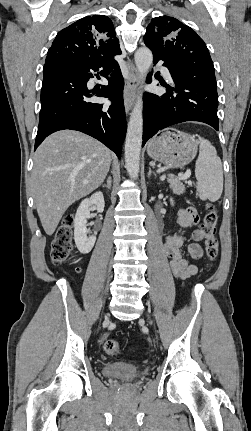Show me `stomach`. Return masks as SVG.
Returning <instances> with one entry per match:
<instances>
[{
    "label": "stomach",
    "instance_id": "0dacf381",
    "mask_svg": "<svg viewBox=\"0 0 251 431\" xmlns=\"http://www.w3.org/2000/svg\"><path fill=\"white\" fill-rule=\"evenodd\" d=\"M147 153L168 167H183L195 158L197 142L191 135L168 128L148 143Z\"/></svg>",
    "mask_w": 251,
    "mask_h": 431
}]
</instances>
